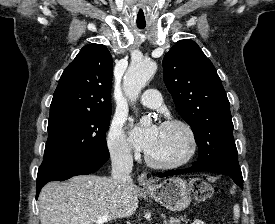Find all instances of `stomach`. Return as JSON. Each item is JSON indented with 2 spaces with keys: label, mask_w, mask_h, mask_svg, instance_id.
<instances>
[{
  "label": "stomach",
  "mask_w": 275,
  "mask_h": 224,
  "mask_svg": "<svg viewBox=\"0 0 275 224\" xmlns=\"http://www.w3.org/2000/svg\"><path fill=\"white\" fill-rule=\"evenodd\" d=\"M146 193L170 211H182L191 202L188 182L179 177L164 180L145 189Z\"/></svg>",
  "instance_id": "0dacf381"
}]
</instances>
